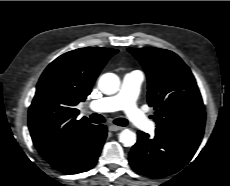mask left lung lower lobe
I'll use <instances>...</instances> for the list:
<instances>
[{
    "instance_id": "obj_1",
    "label": "left lung lower lobe",
    "mask_w": 230,
    "mask_h": 186,
    "mask_svg": "<svg viewBox=\"0 0 230 186\" xmlns=\"http://www.w3.org/2000/svg\"><path fill=\"white\" fill-rule=\"evenodd\" d=\"M201 139L159 129L151 139L139 131L137 142L129 153V163L143 175L162 178L182 169L194 156Z\"/></svg>"
}]
</instances>
